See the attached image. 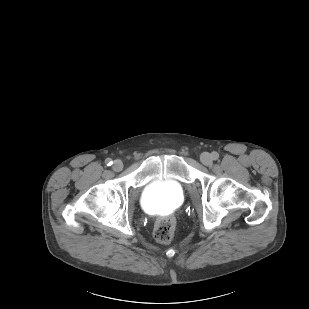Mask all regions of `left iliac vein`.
Wrapping results in <instances>:
<instances>
[{"mask_svg":"<svg viewBox=\"0 0 309 309\" xmlns=\"http://www.w3.org/2000/svg\"><path fill=\"white\" fill-rule=\"evenodd\" d=\"M200 160H201L202 164H204L206 166L211 165L212 162H213L212 156L207 152H204V153L201 154Z\"/></svg>","mask_w":309,"mask_h":309,"instance_id":"4c4485c4","label":"left iliac vein"}]
</instances>
